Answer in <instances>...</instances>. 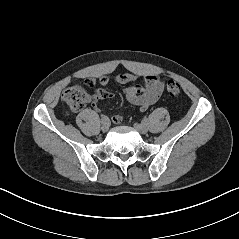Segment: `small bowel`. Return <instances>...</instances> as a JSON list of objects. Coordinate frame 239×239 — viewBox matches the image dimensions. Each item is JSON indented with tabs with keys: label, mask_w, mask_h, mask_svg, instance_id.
<instances>
[{
	"label": "small bowel",
	"mask_w": 239,
	"mask_h": 239,
	"mask_svg": "<svg viewBox=\"0 0 239 239\" xmlns=\"http://www.w3.org/2000/svg\"><path fill=\"white\" fill-rule=\"evenodd\" d=\"M138 76L132 73H121L116 76V81L120 84H127L136 81ZM93 80L94 85L97 80L95 78H87L85 80L86 84H89ZM100 85L106 87L109 84V78L102 76L99 79ZM165 88V81L155 74H149L144 77L143 83H136L131 86L126 87L123 92L126 100L139 107L141 112L146 111L152 104H154ZM96 97L99 99H112L114 94L106 89H98L96 91ZM115 123H120L122 117L120 115H115L113 117Z\"/></svg>",
	"instance_id": "obj_1"
}]
</instances>
